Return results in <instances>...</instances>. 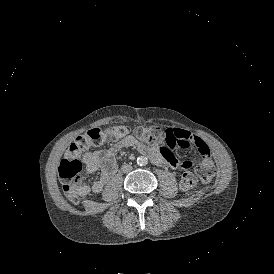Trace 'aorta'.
<instances>
[{
  "mask_svg": "<svg viewBox=\"0 0 274 274\" xmlns=\"http://www.w3.org/2000/svg\"><path fill=\"white\" fill-rule=\"evenodd\" d=\"M148 163V159L144 156H140L137 158V164L139 166H145Z\"/></svg>",
  "mask_w": 274,
  "mask_h": 274,
  "instance_id": "aorta-1",
  "label": "aorta"
}]
</instances>
